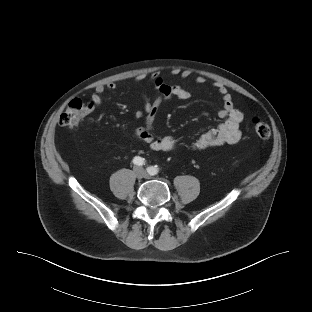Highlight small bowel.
Returning <instances> with one entry per match:
<instances>
[{"instance_id": "1", "label": "small bowel", "mask_w": 312, "mask_h": 312, "mask_svg": "<svg viewBox=\"0 0 312 312\" xmlns=\"http://www.w3.org/2000/svg\"><path fill=\"white\" fill-rule=\"evenodd\" d=\"M191 74L185 70L180 72L182 78H187ZM144 76H138L137 80H142ZM153 85L158 92L154 100H150L146 95L143 96L144 108L136 112V116L144 120V124L135 129V136L142 142L147 143L153 151H171L177 146L176 140L169 136H157L153 132V124L159 105L162 100H168L171 97H177L187 100L191 97V92L177 84H168L162 78L155 77L152 79ZM197 83H204V77H197ZM116 88L114 82L96 87L91 95L88 104V110H93L102 104V95L106 90L113 91ZM214 88L222 100V108L219 110V117L224 121L216 128L207 131L199 136L192 144L195 150H201L212 146L223 144H234L240 141L242 133L240 124L243 120L242 113L234 107L233 99L227 88L221 83H215Z\"/></svg>"}]
</instances>
